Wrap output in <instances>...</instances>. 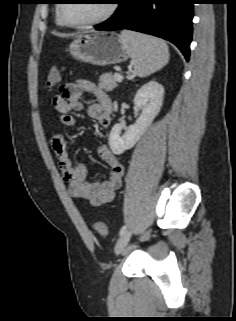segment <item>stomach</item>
<instances>
[{
  "label": "stomach",
  "instance_id": "obj_1",
  "mask_svg": "<svg viewBox=\"0 0 236 321\" xmlns=\"http://www.w3.org/2000/svg\"><path fill=\"white\" fill-rule=\"evenodd\" d=\"M77 60L97 66L117 64L127 60L129 53L115 32L81 34L69 46Z\"/></svg>",
  "mask_w": 236,
  "mask_h": 321
}]
</instances>
